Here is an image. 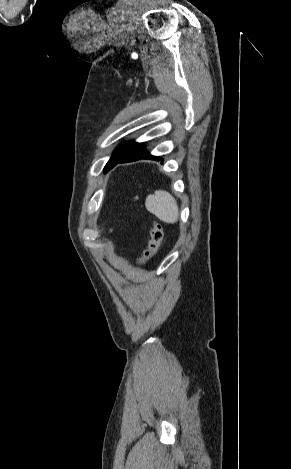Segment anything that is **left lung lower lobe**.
Returning a JSON list of instances; mask_svg holds the SVG:
<instances>
[{
  "mask_svg": "<svg viewBox=\"0 0 291 469\" xmlns=\"http://www.w3.org/2000/svg\"><path fill=\"white\" fill-rule=\"evenodd\" d=\"M140 159L159 160L160 158L150 155L148 152L144 150V145L142 143L141 144L137 143L128 152H126L122 157L117 159V161L115 162V165H117L118 163L132 162V161H137Z\"/></svg>",
  "mask_w": 291,
  "mask_h": 469,
  "instance_id": "0a47b994",
  "label": "left lung lower lobe"
}]
</instances>
